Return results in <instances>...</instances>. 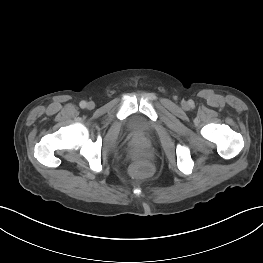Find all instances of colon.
Listing matches in <instances>:
<instances>
[{
  "mask_svg": "<svg viewBox=\"0 0 263 263\" xmlns=\"http://www.w3.org/2000/svg\"><path fill=\"white\" fill-rule=\"evenodd\" d=\"M152 172V165L146 160H139L131 166V173L135 176L146 177Z\"/></svg>",
  "mask_w": 263,
  "mask_h": 263,
  "instance_id": "obj_1",
  "label": "colon"
}]
</instances>
